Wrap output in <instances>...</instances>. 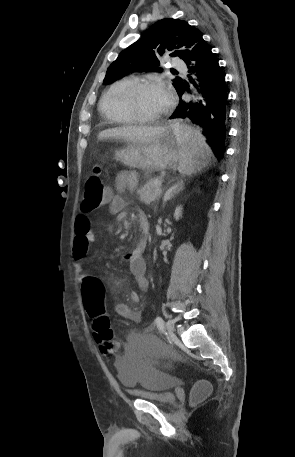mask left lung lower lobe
I'll return each instance as SVG.
<instances>
[{"instance_id":"obj_1","label":"left lung lower lobe","mask_w":295,"mask_h":457,"mask_svg":"<svg viewBox=\"0 0 295 457\" xmlns=\"http://www.w3.org/2000/svg\"><path fill=\"white\" fill-rule=\"evenodd\" d=\"M186 64L189 72L197 77L202 98L196 104H187L180 100L170 119L188 117L200 125L202 130L199 132L204 137L205 142L211 147L215 157L222 159L225 152L228 104L225 77L215 54L212 53L211 48L203 38L193 47ZM193 83L196 86V83ZM184 90L189 91L186 82L177 91L178 95L181 96Z\"/></svg>"}]
</instances>
